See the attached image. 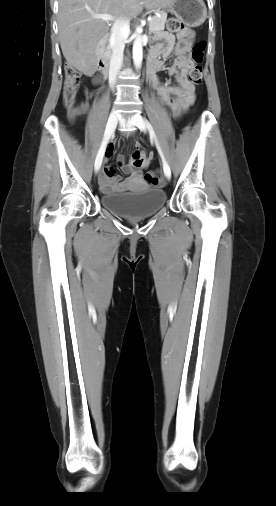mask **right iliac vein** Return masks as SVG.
<instances>
[{"mask_svg": "<svg viewBox=\"0 0 276 506\" xmlns=\"http://www.w3.org/2000/svg\"><path fill=\"white\" fill-rule=\"evenodd\" d=\"M117 121H118V119H117L116 113L112 112L110 114L109 118H108V122H107L105 133H104V138H103L101 147L99 149V152L97 154V157H96L95 161H98V160H100V159L103 158L104 151H105V146H106V144H107L110 136L112 135V133L114 132V130L116 128ZM99 169H95L96 173L99 171Z\"/></svg>", "mask_w": 276, "mask_h": 506, "instance_id": "1", "label": "right iliac vein"}]
</instances>
